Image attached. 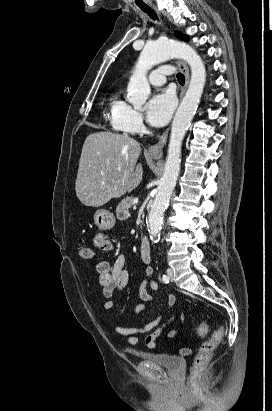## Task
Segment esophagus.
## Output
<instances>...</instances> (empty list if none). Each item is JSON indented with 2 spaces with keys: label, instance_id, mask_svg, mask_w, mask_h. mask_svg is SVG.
Masks as SVG:
<instances>
[{
  "label": "esophagus",
  "instance_id": "obj_1",
  "mask_svg": "<svg viewBox=\"0 0 272 411\" xmlns=\"http://www.w3.org/2000/svg\"><path fill=\"white\" fill-rule=\"evenodd\" d=\"M154 9L159 13L157 8H154ZM176 63H177L178 68L182 71V73L185 76V84L182 87L181 93H180V99H182V97H183V95H184V93L187 89L188 83H189L190 74H189V69H188L187 65L183 61L178 60ZM168 133H169V128L164 131V133L160 136L157 143H155L154 145H152L148 148L147 153L149 155L155 156V157L162 156L163 148H164V146L166 144V141H167V138H168Z\"/></svg>",
  "mask_w": 272,
  "mask_h": 411
}]
</instances>
